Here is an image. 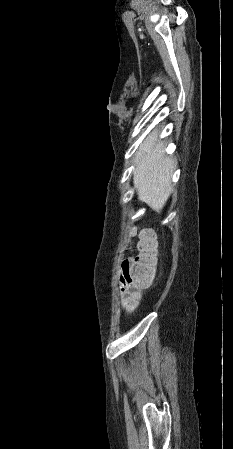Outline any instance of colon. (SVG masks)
Listing matches in <instances>:
<instances>
[{
	"label": "colon",
	"instance_id": "colon-1",
	"mask_svg": "<svg viewBox=\"0 0 233 449\" xmlns=\"http://www.w3.org/2000/svg\"><path fill=\"white\" fill-rule=\"evenodd\" d=\"M157 236L152 230H145L139 242L140 254L123 262L122 268L131 285L129 308H133L139 293L149 287L157 274Z\"/></svg>",
	"mask_w": 233,
	"mask_h": 449
}]
</instances>
